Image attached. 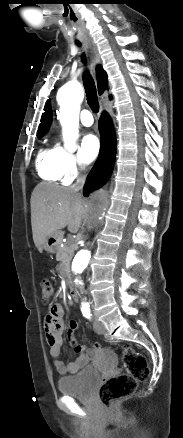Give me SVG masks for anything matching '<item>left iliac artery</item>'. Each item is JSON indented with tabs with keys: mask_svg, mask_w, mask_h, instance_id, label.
Instances as JSON below:
<instances>
[{
	"mask_svg": "<svg viewBox=\"0 0 183 438\" xmlns=\"http://www.w3.org/2000/svg\"><path fill=\"white\" fill-rule=\"evenodd\" d=\"M81 311L83 313V316H85L86 318L90 319L91 318V313H90V308L89 306H85L81 308Z\"/></svg>",
	"mask_w": 183,
	"mask_h": 438,
	"instance_id": "1",
	"label": "left iliac artery"
}]
</instances>
